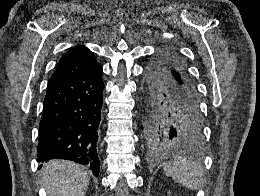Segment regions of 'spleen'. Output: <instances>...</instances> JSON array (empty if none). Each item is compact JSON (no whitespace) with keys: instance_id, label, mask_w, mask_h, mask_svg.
Instances as JSON below:
<instances>
[{"instance_id":"obj_1","label":"spleen","mask_w":260,"mask_h":196,"mask_svg":"<svg viewBox=\"0 0 260 196\" xmlns=\"http://www.w3.org/2000/svg\"><path fill=\"white\" fill-rule=\"evenodd\" d=\"M166 176H170L174 182L182 184L189 190H198L204 184L203 170L197 162H192L188 158H174L172 162L164 164Z\"/></svg>"}]
</instances>
